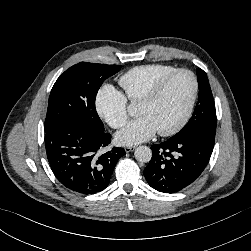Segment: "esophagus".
Returning a JSON list of instances; mask_svg holds the SVG:
<instances>
[{
  "label": "esophagus",
  "instance_id": "1",
  "mask_svg": "<svg viewBox=\"0 0 251 251\" xmlns=\"http://www.w3.org/2000/svg\"><path fill=\"white\" fill-rule=\"evenodd\" d=\"M127 153L132 152L135 149V146H127L124 148Z\"/></svg>",
  "mask_w": 251,
  "mask_h": 251
}]
</instances>
